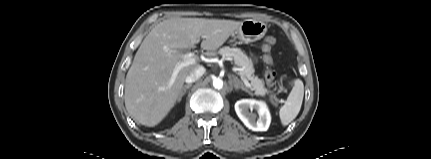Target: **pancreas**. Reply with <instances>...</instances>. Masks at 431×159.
<instances>
[{
	"mask_svg": "<svg viewBox=\"0 0 431 159\" xmlns=\"http://www.w3.org/2000/svg\"><path fill=\"white\" fill-rule=\"evenodd\" d=\"M219 53L224 58H232L235 64L241 68V71H239L238 74L251 81V90L254 91L256 96H265L269 93L265 88L264 81L254 75L252 61L241 49L226 46L221 48Z\"/></svg>",
	"mask_w": 431,
	"mask_h": 159,
	"instance_id": "cf45deb5",
	"label": "pancreas"
}]
</instances>
